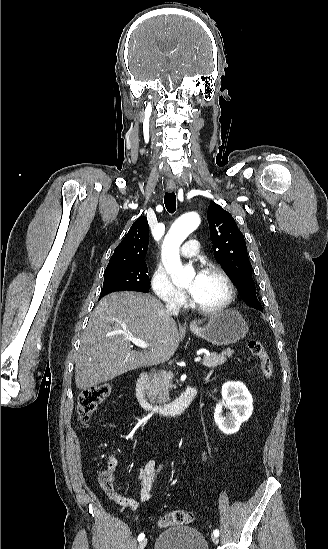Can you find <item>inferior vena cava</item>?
Segmentation results:
<instances>
[{
  "instance_id": "602c4592",
  "label": "inferior vena cava",
  "mask_w": 328,
  "mask_h": 549,
  "mask_svg": "<svg viewBox=\"0 0 328 549\" xmlns=\"http://www.w3.org/2000/svg\"><path fill=\"white\" fill-rule=\"evenodd\" d=\"M165 309L167 315H178L181 305L177 301H166Z\"/></svg>"
}]
</instances>
